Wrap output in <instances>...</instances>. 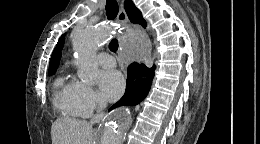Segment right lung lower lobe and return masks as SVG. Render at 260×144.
<instances>
[{
    "label": "right lung lower lobe",
    "instance_id": "1",
    "mask_svg": "<svg viewBox=\"0 0 260 144\" xmlns=\"http://www.w3.org/2000/svg\"><path fill=\"white\" fill-rule=\"evenodd\" d=\"M154 70L155 66L148 68L144 64L132 63L128 67L125 94L109 111L119 106L136 105L145 99L151 87Z\"/></svg>",
    "mask_w": 260,
    "mask_h": 144
}]
</instances>
